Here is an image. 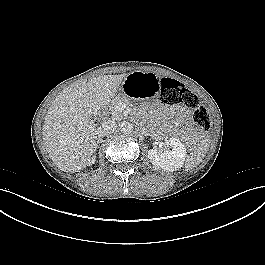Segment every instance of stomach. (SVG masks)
<instances>
[{
  "label": "stomach",
  "mask_w": 265,
  "mask_h": 265,
  "mask_svg": "<svg viewBox=\"0 0 265 265\" xmlns=\"http://www.w3.org/2000/svg\"><path fill=\"white\" fill-rule=\"evenodd\" d=\"M159 78L152 73L134 72L124 80L121 86L123 96L137 108L152 107L159 99Z\"/></svg>",
  "instance_id": "1"
}]
</instances>
